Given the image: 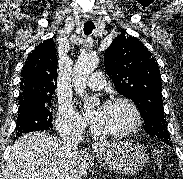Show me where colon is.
<instances>
[{"mask_svg": "<svg viewBox=\"0 0 183 179\" xmlns=\"http://www.w3.org/2000/svg\"><path fill=\"white\" fill-rule=\"evenodd\" d=\"M154 156H155V159L156 160H160V154L158 153V152H156L155 154H154ZM164 179H170V178H164Z\"/></svg>", "mask_w": 183, "mask_h": 179, "instance_id": "colon-1", "label": "colon"}]
</instances>
